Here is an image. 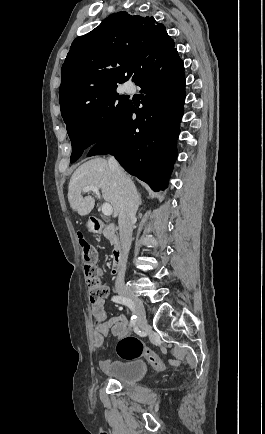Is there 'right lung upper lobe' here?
Returning a JSON list of instances; mask_svg holds the SVG:
<instances>
[{
    "label": "right lung upper lobe",
    "instance_id": "1",
    "mask_svg": "<svg viewBox=\"0 0 265 434\" xmlns=\"http://www.w3.org/2000/svg\"><path fill=\"white\" fill-rule=\"evenodd\" d=\"M174 48L166 27L154 17L113 13L73 41L61 69L59 100L103 82L135 81L148 64Z\"/></svg>",
    "mask_w": 265,
    "mask_h": 434
}]
</instances>
